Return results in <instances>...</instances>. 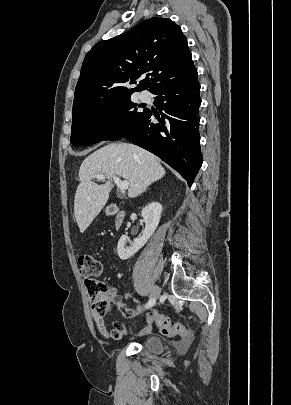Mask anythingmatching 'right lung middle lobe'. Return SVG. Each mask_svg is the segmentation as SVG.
I'll return each instance as SVG.
<instances>
[{
    "instance_id": "dd1d6c3e",
    "label": "right lung middle lobe",
    "mask_w": 291,
    "mask_h": 405,
    "mask_svg": "<svg viewBox=\"0 0 291 405\" xmlns=\"http://www.w3.org/2000/svg\"><path fill=\"white\" fill-rule=\"evenodd\" d=\"M130 96L96 103L73 113L71 143L89 146L104 140H119L133 130L147 109L139 111Z\"/></svg>"
}]
</instances>
